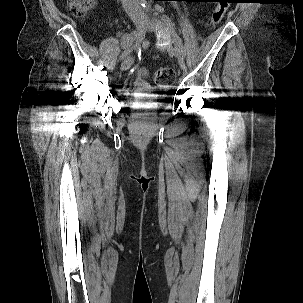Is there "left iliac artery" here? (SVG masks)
Instances as JSON below:
<instances>
[{
    "instance_id": "44dca946",
    "label": "left iliac artery",
    "mask_w": 303,
    "mask_h": 303,
    "mask_svg": "<svg viewBox=\"0 0 303 303\" xmlns=\"http://www.w3.org/2000/svg\"><path fill=\"white\" fill-rule=\"evenodd\" d=\"M163 19H164L168 24H170L172 27L174 26V23L171 21V19H170L168 16L163 15ZM185 55H186V49H185V47H182V50H181L182 60L184 59Z\"/></svg>"
}]
</instances>
